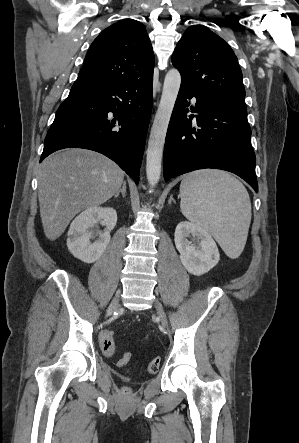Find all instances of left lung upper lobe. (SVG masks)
Instances as JSON below:
<instances>
[{"instance_id": "5c2ea615", "label": "left lung upper lobe", "mask_w": 299, "mask_h": 443, "mask_svg": "<svg viewBox=\"0 0 299 443\" xmlns=\"http://www.w3.org/2000/svg\"><path fill=\"white\" fill-rule=\"evenodd\" d=\"M172 63L182 83L208 98L246 110L237 57L221 37L205 26L193 25L186 30L174 50Z\"/></svg>"}]
</instances>
